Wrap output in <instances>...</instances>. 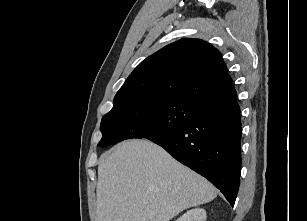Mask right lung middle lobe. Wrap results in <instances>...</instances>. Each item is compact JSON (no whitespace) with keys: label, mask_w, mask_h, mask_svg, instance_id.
I'll use <instances>...</instances> for the list:
<instances>
[{"label":"right lung middle lobe","mask_w":307,"mask_h":221,"mask_svg":"<svg viewBox=\"0 0 307 221\" xmlns=\"http://www.w3.org/2000/svg\"><path fill=\"white\" fill-rule=\"evenodd\" d=\"M204 108L190 101L163 97H138L115 102L111 111L102 118V139L98 146L169 133L190 122Z\"/></svg>","instance_id":"dd1d6c3e"}]
</instances>
